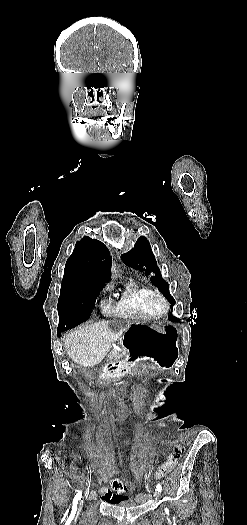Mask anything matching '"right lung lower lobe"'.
<instances>
[{
  "label": "right lung lower lobe",
  "mask_w": 247,
  "mask_h": 525,
  "mask_svg": "<svg viewBox=\"0 0 247 525\" xmlns=\"http://www.w3.org/2000/svg\"><path fill=\"white\" fill-rule=\"evenodd\" d=\"M70 329V327H60L58 326L57 335L60 336L61 332Z\"/></svg>",
  "instance_id": "98d812e1"
}]
</instances>
